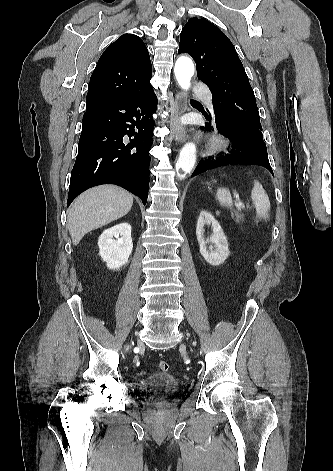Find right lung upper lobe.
I'll return each instance as SVG.
<instances>
[{
  "mask_svg": "<svg viewBox=\"0 0 333 471\" xmlns=\"http://www.w3.org/2000/svg\"><path fill=\"white\" fill-rule=\"evenodd\" d=\"M152 67L141 38L124 34L103 52L90 78L86 111L126 97L150 82Z\"/></svg>",
  "mask_w": 333,
  "mask_h": 471,
  "instance_id": "1",
  "label": "right lung upper lobe"
}]
</instances>
